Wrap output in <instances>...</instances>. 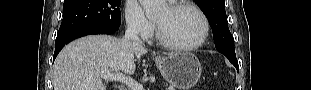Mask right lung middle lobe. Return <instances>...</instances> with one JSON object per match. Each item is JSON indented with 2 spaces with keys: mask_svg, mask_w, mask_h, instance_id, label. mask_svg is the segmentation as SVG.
Listing matches in <instances>:
<instances>
[{
  "mask_svg": "<svg viewBox=\"0 0 311 90\" xmlns=\"http://www.w3.org/2000/svg\"><path fill=\"white\" fill-rule=\"evenodd\" d=\"M121 0H65L57 36L89 27H119Z\"/></svg>",
  "mask_w": 311,
  "mask_h": 90,
  "instance_id": "obj_1",
  "label": "right lung middle lobe"
}]
</instances>
